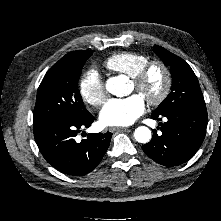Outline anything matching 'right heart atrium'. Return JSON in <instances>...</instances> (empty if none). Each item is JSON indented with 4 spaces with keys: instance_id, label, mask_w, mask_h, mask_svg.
Segmentation results:
<instances>
[{
    "instance_id": "obj_1",
    "label": "right heart atrium",
    "mask_w": 221,
    "mask_h": 221,
    "mask_svg": "<svg viewBox=\"0 0 221 221\" xmlns=\"http://www.w3.org/2000/svg\"><path fill=\"white\" fill-rule=\"evenodd\" d=\"M79 92L84 102L98 107L107 96L105 84L97 70L91 68L84 72L79 81Z\"/></svg>"
}]
</instances>
